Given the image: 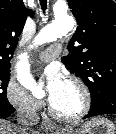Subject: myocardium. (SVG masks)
I'll list each match as a JSON object with an SVG mask.
<instances>
[{
	"label": "myocardium",
	"mask_w": 116,
	"mask_h": 134,
	"mask_svg": "<svg viewBox=\"0 0 116 134\" xmlns=\"http://www.w3.org/2000/svg\"><path fill=\"white\" fill-rule=\"evenodd\" d=\"M66 83L73 86L81 97V107L73 114H64L57 111L52 105L49 107V112L53 117L64 122H76L84 118L91 108V95L87 87L78 79L68 78Z\"/></svg>",
	"instance_id": "f54148a6"
}]
</instances>
